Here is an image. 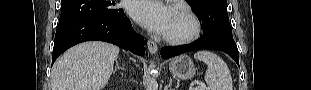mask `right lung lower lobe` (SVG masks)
<instances>
[{
    "mask_svg": "<svg viewBox=\"0 0 311 90\" xmlns=\"http://www.w3.org/2000/svg\"><path fill=\"white\" fill-rule=\"evenodd\" d=\"M113 43L137 55H144V39L135 33L122 10L115 16H89L59 25L56 31L52 65L65 50L84 41Z\"/></svg>",
    "mask_w": 311,
    "mask_h": 90,
    "instance_id": "1",
    "label": "right lung lower lobe"
}]
</instances>
